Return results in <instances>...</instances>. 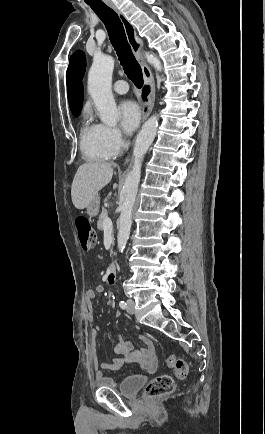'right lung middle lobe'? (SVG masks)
I'll return each mask as SVG.
<instances>
[{"label": "right lung middle lobe", "instance_id": "right-lung-middle-lobe-1", "mask_svg": "<svg viewBox=\"0 0 265 434\" xmlns=\"http://www.w3.org/2000/svg\"><path fill=\"white\" fill-rule=\"evenodd\" d=\"M72 114L77 117L80 114V111L82 109V104H76L70 106Z\"/></svg>", "mask_w": 265, "mask_h": 434}]
</instances>
